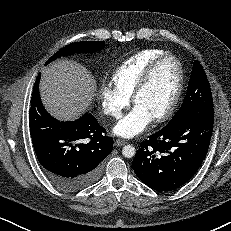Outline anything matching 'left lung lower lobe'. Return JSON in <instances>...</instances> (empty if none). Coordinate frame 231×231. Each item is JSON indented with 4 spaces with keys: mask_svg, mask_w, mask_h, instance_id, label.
Returning a JSON list of instances; mask_svg holds the SVG:
<instances>
[{
    "mask_svg": "<svg viewBox=\"0 0 231 231\" xmlns=\"http://www.w3.org/2000/svg\"><path fill=\"white\" fill-rule=\"evenodd\" d=\"M214 114L188 113L149 136L132 166L138 178L157 191H172L188 182L207 154Z\"/></svg>",
    "mask_w": 231,
    "mask_h": 231,
    "instance_id": "0a47b994",
    "label": "left lung lower lobe"
}]
</instances>
